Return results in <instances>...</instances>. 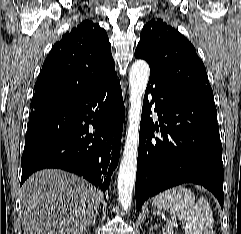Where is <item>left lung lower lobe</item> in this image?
<instances>
[{"label":"left lung lower lobe","mask_w":241,"mask_h":234,"mask_svg":"<svg viewBox=\"0 0 241 234\" xmlns=\"http://www.w3.org/2000/svg\"><path fill=\"white\" fill-rule=\"evenodd\" d=\"M152 105L158 114L155 124ZM154 130L160 134L154 136ZM223 175L214 100L150 73L140 125L137 210L149 197L181 183L204 186L223 208Z\"/></svg>","instance_id":"0a47b994"}]
</instances>
